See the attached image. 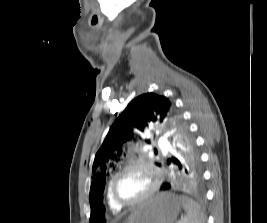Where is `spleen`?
<instances>
[{
  "label": "spleen",
  "instance_id": "1",
  "mask_svg": "<svg viewBox=\"0 0 267 223\" xmlns=\"http://www.w3.org/2000/svg\"><path fill=\"white\" fill-rule=\"evenodd\" d=\"M179 199L186 215L178 223H205L204 212L197 202L187 196H180Z\"/></svg>",
  "mask_w": 267,
  "mask_h": 223
}]
</instances>
